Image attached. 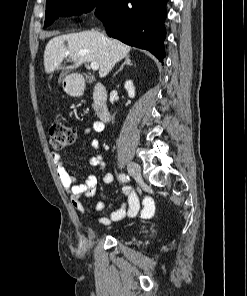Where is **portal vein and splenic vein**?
I'll use <instances>...</instances> for the list:
<instances>
[{"instance_id":"obj_1","label":"portal vein and splenic vein","mask_w":247,"mask_h":296,"mask_svg":"<svg viewBox=\"0 0 247 296\" xmlns=\"http://www.w3.org/2000/svg\"><path fill=\"white\" fill-rule=\"evenodd\" d=\"M90 67L92 70L96 71L99 69V64L97 62H91Z\"/></svg>"}]
</instances>
